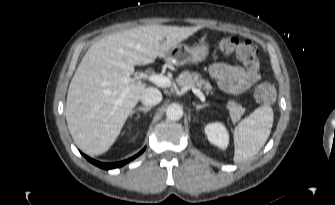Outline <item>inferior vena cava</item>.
Listing matches in <instances>:
<instances>
[{"mask_svg":"<svg viewBox=\"0 0 335 205\" xmlns=\"http://www.w3.org/2000/svg\"><path fill=\"white\" fill-rule=\"evenodd\" d=\"M140 100L145 106L152 107L161 102L162 94L158 89L149 87L142 92Z\"/></svg>","mask_w":335,"mask_h":205,"instance_id":"inferior-vena-cava-1","label":"inferior vena cava"}]
</instances>
